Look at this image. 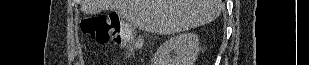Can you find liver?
Here are the masks:
<instances>
[{"label": "liver", "instance_id": "obj_1", "mask_svg": "<svg viewBox=\"0 0 309 65\" xmlns=\"http://www.w3.org/2000/svg\"><path fill=\"white\" fill-rule=\"evenodd\" d=\"M221 0H83L85 14L116 10L141 30L168 35L208 24L217 19Z\"/></svg>", "mask_w": 309, "mask_h": 65}]
</instances>
